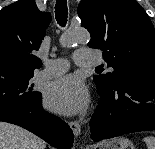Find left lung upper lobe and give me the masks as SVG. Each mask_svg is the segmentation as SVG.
Listing matches in <instances>:
<instances>
[{"label":"left lung upper lobe","instance_id":"5c2ea615","mask_svg":"<svg viewBox=\"0 0 155 149\" xmlns=\"http://www.w3.org/2000/svg\"><path fill=\"white\" fill-rule=\"evenodd\" d=\"M81 26L90 48L103 51L112 73L94 76L96 84L114 86L139 72H155V29L135 0H81Z\"/></svg>","mask_w":155,"mask_h":149}]
</instances>
